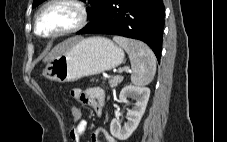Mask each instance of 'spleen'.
Instances as JSON below:
<instances>
[{"label":"spleen","instance_id":"spleen-1","mask_svg":"<svg viewBox=\"0 0 227 142\" xmlns=\"http://www.w3.org/2000/svg\"><path fill=\"white\" fill-rule=\"evenodd\" d=\"M113 40L128 53L132 68V83L136 86H144L152 82L156 73V57L153 51L137 40L121 36H115Z\"/></svg>","mask_w":227,"mask_h":142}]
</instances>
